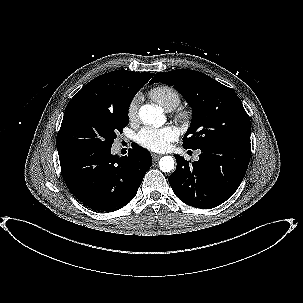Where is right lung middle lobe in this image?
Returning <instances> with one entry per match:
<instances>
[{"mask_svg":"<svg viewBox=\"0 0 303 303\" xmlns=\"http://www.w3.org/2000/svg\"><path fill=\"white\" fill-rule=\"evenodd\" d=\"M127 115L128 110L113 112L87 101L68 104L56 139L59 156L110 149Z\"/></svg>","mask_w":303,"mask_h":303,"instance_id":"dd1d6c3e","label":"right lung middle lobe"}]
</instances>
